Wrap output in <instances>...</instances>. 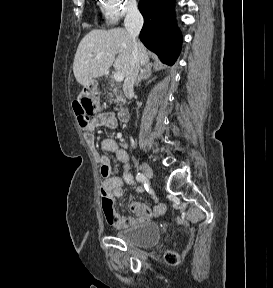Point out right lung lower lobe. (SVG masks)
Here are the masks:
<instances>
[{
    "instance_id": "1",
    "label": "right lung lower lobe",
    "mask_w": 273,
    "mask_h": 288,
    "mask_svg": "<svg viewBox=\"0 0 273 288\" xmlns=\"http://www.w3.org/2000/svg\"><path fill=\"white\" fill-rule=\"evenodd\" d=\"M138 8L144 17L140 40L163 63L173 65L182 41L175 24L173 0H140Z\"/></svg>"
}]
</instances>
